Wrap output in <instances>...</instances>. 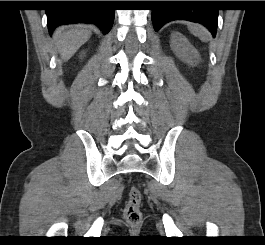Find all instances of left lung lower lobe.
<instances>
[{"mask_svg": "<svg viewBox=\"0 0 265 245\" xmlns=\"http://www.w3.org/2000/svg\"><path fill=\"white\" fill-rule=\"evenodd\" d=\"M204 3L202 1H166L164 7L152 10V22L155 31L173 20H187L201 23L216 35L218 10L213 8H194Z\"/></svg>", "mask_w": 265, "mask_h": 245, "instance_id": "obj_1", "label": "left lung lower lobe"}]
</instances>
